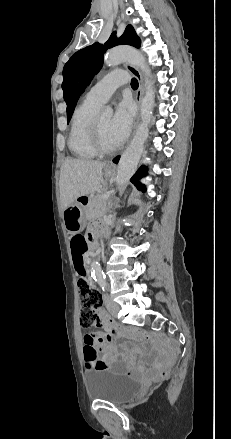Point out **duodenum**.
I'll list each match as a JSON object with an SVG mask.
<instances>
[{
	"label": "duodenum",
	"mask_w": 231,
	"mask_h": 439,
	"mask_svg": "<svg viewBox=\"0 0 231 439\" xmlns=\"http://www.w3.org/2000/svg\"><path fill=\"white\" fill-rule=\"evenodd\" d=\"M94 242H95V239L94 238H92L91 240H90V243L93 245L94 244Z\"/></svg>",
	"instance_id": "duodenum-1"
}]
</instances>
